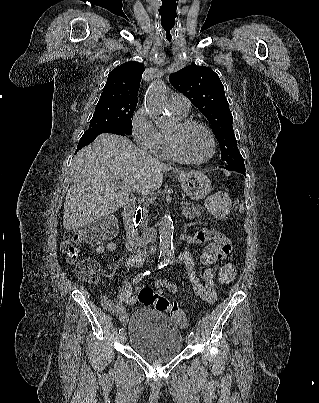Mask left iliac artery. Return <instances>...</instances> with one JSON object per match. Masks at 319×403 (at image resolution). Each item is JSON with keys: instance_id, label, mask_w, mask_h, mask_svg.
<instances>
[{"instance_id": "1", "label": "left iliac artery", "mask_w": 319, "mask_h": 403, "mask_svg": "<svg viewBox=\"0 0 319 403\" xmlns=\"http://www.w3.org/2000/svg\"><path fill=\"white\" fill-rule=\"evenodd\" d=\"M189 336H193V337H194V333H193V332H190Z\"/></svg>"}]
</instances>
